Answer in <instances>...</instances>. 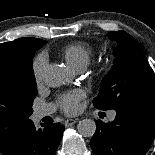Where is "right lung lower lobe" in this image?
Here are the masks:
<instances>
[{
    "label": "right lung lower lobe",
    "mask_w": 155,
    "mask_h": 155,
    "mask_svg": "<svg viewBox=\"0 0 155 155\" xmlns=\"http://www.w3.org/2000/svg\"><path fill=\"white\" fill-rule=\"evenodd\" d=\"M36 129L32 122L0 155H54L62 139L64 126L60 123L41 124Z\"/></svg>",
    "instance_id": "right-lung-lower-lobe-1"
}]
</instances>
